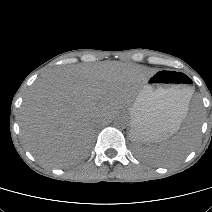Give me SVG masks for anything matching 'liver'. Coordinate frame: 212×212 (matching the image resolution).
Here are the masks:
<instances>
[{
    "label": "liver",
    "mask_w": 212,
    "mask_h": 212,
    "mask_svg": "<svg viewBox=\"0 0 212 212\" xmlns=\"http://www.w3.org/2000/svg\"><path fill=\"white\" fill-rule=\"evenodd\" d=\"M152 74L137 64L111 61L43 75L20 109L24 146L44 165L74 164L87 155L97 124L131 105Z\"/></svg>",
    "instance_id": "liver-1"
}]
</instances>
